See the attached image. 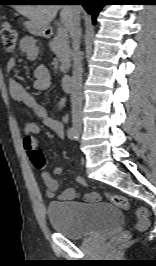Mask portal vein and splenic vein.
<instances>
[{"mask_svg": "<svg viewBox=\"0 0 156 266\" xmlns=\"http://www.w3.org/2000/svg\"><path fill=\"white\" fill-rule=\"evenodd\" d=\"M57 34L59 37H67V29L64 27H59Z\"/></svg>", "mask_w": 156, "mask_h": 266, "instance_id": "18ae733b", "label": "portal vein and splenic vein"}]
</instances>
